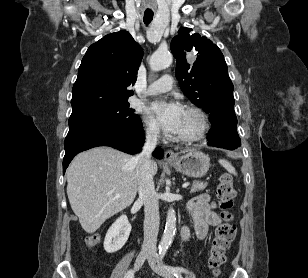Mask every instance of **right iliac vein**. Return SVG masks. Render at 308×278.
Masks as SVG:
<instances>
[{
	"label": "right iliac vein",
	"instance_id": "right-iliac-vein-1",
	"mask_svg": "<svg viewBox=\"0 0 308 278\" xmlns=\"http://www.w3.org/2000/svg\"><path fill=\"white\" fill-rule=\"evenodd\" d=\"M149 256L150 253L148 251H141L136 258L134 269L138 270Z\"/></svg>",
	"mask_w": 308,
	"mask_h": 278
}]
</instances>
